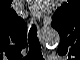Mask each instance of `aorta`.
Here are the masks:
<instances>
[{
	"label": "aorta",
	"mask_w": 80,
	"mask_h": 60,
	"mask_svg": "<svg viewBox=\"0 0 80 60\" xmlns=\"http://www.w3.org/2000/svg\"><path fill=\"white\" fill-rule=\"evenodd\" d=\"M50 36H54V38L57 40V36L56 35L49 34L48 37H50Z\"/></svg>",
	"instance_id": "1"
}]
</instances>
